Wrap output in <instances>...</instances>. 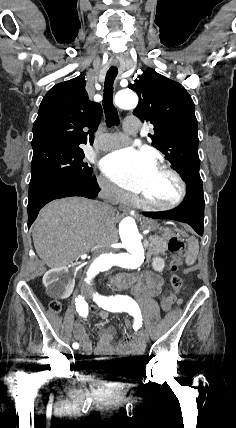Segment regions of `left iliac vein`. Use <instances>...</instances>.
Segmentation results:
<instances>
[{
	"mask_svg": "<svg viewBox=\"0 0 236 428\" xmlns=\"http://www.w3.org/2000/svg\"><path fill=\"white\" fill-rule=\"evenodd\" d=\"M143 332H144L145 339L149 340L150 339L149 332L146 329Z\"/></svg>",
	"mask_w": 236,
	"mask_h": 428,
	"instance_id": "obj_1",
	"label": "left iliac vein"
}]
</instances>
